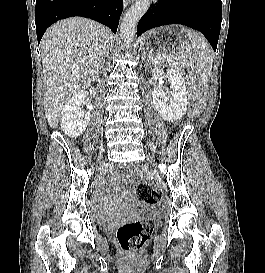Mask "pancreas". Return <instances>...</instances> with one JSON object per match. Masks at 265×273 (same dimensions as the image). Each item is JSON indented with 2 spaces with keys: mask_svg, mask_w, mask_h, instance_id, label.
Segmentation results:
<instances>
[{
  "mask_svg": "<svg viewBox=\"0 0 265 273\" xmlns=\"http://www.w3.org/2000/svg\"><path fill=\"white\" fill-rule=\"evenodd\" d=\"M159 59H154V61H158ZM160 62L162 63H166V64H177L178 62H176L175 60H173L172 58H169L167 60L161 59Z\"/></svg>",
  "mask_w": 265,
  "mask_h": 273,
  "instance_id": "pancreas-1",
  "label": "pancreas"
}]
</instances>
